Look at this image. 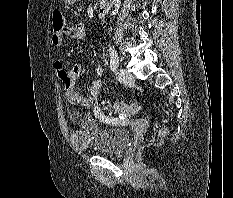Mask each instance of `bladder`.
<instances>
[{
    "instance_id": "31cf9c89",
    "label": "bladder",
    "mask_w": 233,
    "mask_h": 198,
    "mask_svg": "<svg viewBox=\"0 0 233 198\" xmlns=\"http://www.w3.org/2000/svg\"><path fill=\"white\" fill-rule=\"evenodd\" d=\"M126 128H106L95 122H83L73 133V141L83 151L101 155H119L131 141Z\"/></svg>"
}]
</instances>
